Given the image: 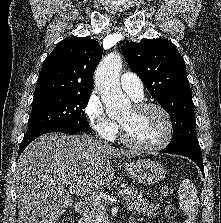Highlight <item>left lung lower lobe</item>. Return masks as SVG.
<instances>
[{"label": "left lung lower lobe", "instance_id": "left-lung-lower-lobe-1", "mask_svg": "<svg viewBox=\"0 0 221 223\" xmlns=\"http://www.w3.org/2000/svg\"><path fill=\"white\" fill-rule=\"evenodd\" d=\"M160 152L178 154L190 158L199 166L201 172L204 175L203 160L199 145H183L174 147L167 146V148L161 150Z\"/></svg>", "mask_w": 221, "mask_h": 223}]
</instances>
